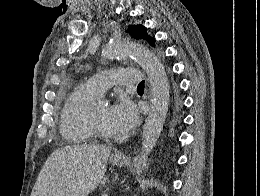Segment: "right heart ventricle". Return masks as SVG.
<instances>
[{"label": "right heart ventricle", "mask_w": 260, "mask_h": 196, "mask_svg": "<svg viewBox=\"0 0 260 196\" xmlns=\"http://www.w3.org/2000/svg\"><path fill=\"white\" fill-rule=\"evenodd\" d=\"M99 98L100 95L88 83L72 88L61 122V133L68 143H89L92 140L93 132L88 118L92 106Z\"/></svg>", "instance_id": "1"}]
</instances>
